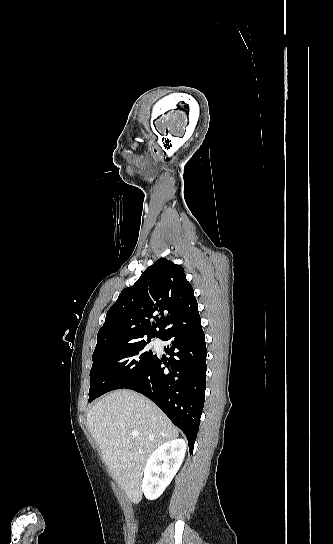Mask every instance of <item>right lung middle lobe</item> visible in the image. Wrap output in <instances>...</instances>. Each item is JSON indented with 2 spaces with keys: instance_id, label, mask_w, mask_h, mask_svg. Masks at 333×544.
I'll use <instances>...</instances> for the list:
<instances>
[{
  "instance_id": "obj_1",
  "label": "right lung middle lobe",
  "mask_w": 333,
  "mask_h": 544,
  "mask_svg": "<svg viewBox=\"0 0 333 544\" xmlns=\"http://www.w3.org/2000/svg\"><path fill=\"white\" fill-rule=\"evenodd\" d=\"M151 339H137L95 350L90 370L89 402L106 392L123 388L143 374L157 355L149 349Z\"/></svg>"
}]
</instances>
